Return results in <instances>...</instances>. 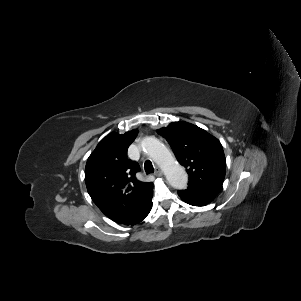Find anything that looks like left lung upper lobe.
<instances>
[{
  "instance_id": "5c2ea615",
  "label": "left lung upper lobe",
  "mask_w": 301,
  "mask_h": 301,
  "mask_svg": "<svg viewBox=\"0 0 301 301\" xmlns=\"http://www.w3.org/2000/svg\"><path fill=\"white\" fill-rule=\"evenodd\" d=\"M170 144L189 175L188 187L219 193L225 177L226 160L220 141L187 122H173L157 130Z\"/></svg>"
}]
</instances>
